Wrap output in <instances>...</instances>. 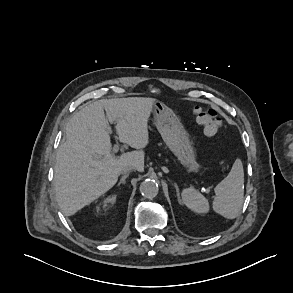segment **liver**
Here are the masks:
<instances>
[{"label":"liver","mask_w":293,"mask_h":293,"mask_svg":"<svg viewBox=\"0 0 293 293\" xmlns=\"http://www.w3.org/2000/svg\"><path fill=\"white\" fill-rule=\"evenodd\" d=\"M155 102L144 97L98 100L68 121L54 169L56 199L64 215H74L110 190L123 166L131 164L144 171L142 149L149 143L148 120ZM108 121L116 123L120 142L138 151L115 157Z\"/></svg>","instance_id":"6515ba94"}]
</instances>
